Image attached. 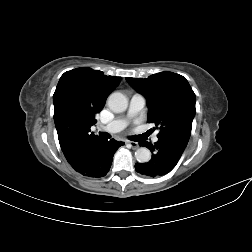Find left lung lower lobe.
<instances>
[{
    "instance_id": "1",
    "label": "left lung lower lobe",
    "mask_w": 252,
    "mask_h": 252,
    "mask_svg": "<svg viewBox=\"0 0 252 252\" xmlns=\"http://www.w3.org/2000/svg\"><path fill=\"white\" fill-rule=\"evenodd\" d=\"M140 145L147 147L152 158L147 163H136L138 173L147 177H159L169 173L180 160L187 144L173 138H158L154 144L141 142Z\"/></svg>"
}]
</instances>
